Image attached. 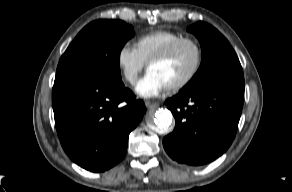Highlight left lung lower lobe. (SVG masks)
Instances as JSON below:
<instances>
[{"label": "left lung lower lobe", "instance_id": "obj_1", "mask_svg": "<svg viewBox=\"0 0 292 192\" xmlns=\"http://www.w3.org/2000/svg\"><path fill=\"white\" fill-rule=\"evenodd\" d=\"M244 101V83L223 82L179 92L166 105L176 119L163 139L167 154L192 166L209 163L231 145Z\"/></svg>", "mask_w": 292, "mask_h": 192}]
</instances>
